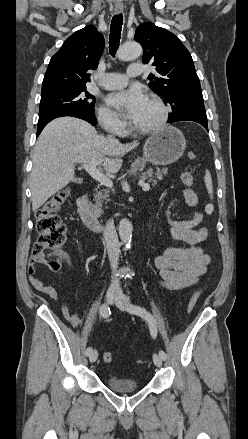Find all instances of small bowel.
<instances>
[{
    "instance_id": "c3829d8e",
    "label": "small bowel",
    "mask_w": 248,
    "mask_h": 439,
    "mask_svg": "<svg viewBox=\"0 0 248 439\" xmlns=\"http://www.w3.org/2000/svg\"><path fill=\"white\" fill-rule=\"evenodd\" d=\"M187 204L195 207L198 204V197L190 189L182 192ZM169 223L168 233L175 239L191 245L187 248H166L154 258V265L159 270L160 284L163 288L177 292L197 283L200 277L206 273L210 263V256L203 248L196 246L208 236L206 227H199L202 213H196L189 220H172L169 218V206L166 210ZM70 265L69 259L65 257ZM37 261L32 257L28 264L29 281L39 292L45 294L54 301L59 300L58 293L53 286L45 285L36 276ZM65 319L72 325L77 326L81 322L80 316L71 311L66 304L61 305Z\"/></svg>"
}]
</instances>
